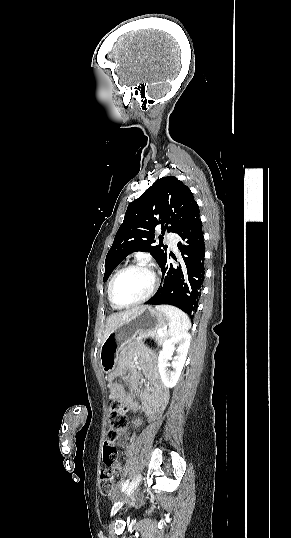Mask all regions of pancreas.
Segmentation results:
<instances>
[{
  "label": "pancreas",
  "mask_w": 291,
  "mask_h": 538,
  "mask_svg": "<svg viewBox=\"0 0 291 538\" xmlns=\"http://www.w3.org/2000/svg\"><path fill=\"white\" fill-rule=\"evenodd\" d=\"M147 337H151V338H154L156 340V342L161 345L167 338H168V335L167 334H163V335H159L157 332H147V333H143V334H140L136 340L139 341L143 338H147Z\"/></svg>",
  "instance_id": "obj_1"
}]
</instances>
